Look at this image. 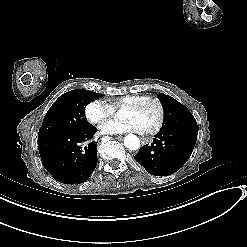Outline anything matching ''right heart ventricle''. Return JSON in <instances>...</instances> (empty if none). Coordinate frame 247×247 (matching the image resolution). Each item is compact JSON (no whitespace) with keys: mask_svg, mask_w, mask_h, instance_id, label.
Returning <instances> with one entry per match:
<instances>
[{"mask_svg":"<svg viewBox=\"0 0 247 247\" xmlns=\"http://www.w3.org/2000/svg\"><path fill=\"white\" fill-rule=\"evenodd\" d=\"M140 97H142V95H128V96L119 97L113 100V106L115 107L126 106L133 103L135 100L139 99Z\"/></svg>","mask_w":247,"mask_h":247,"instance_id":"e07e8e85","label":"right heart ventricle"}]
</instances>
